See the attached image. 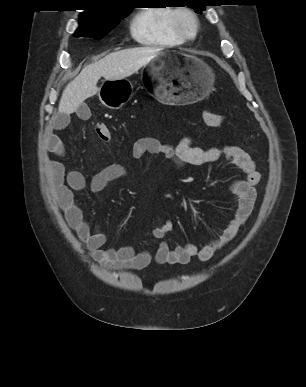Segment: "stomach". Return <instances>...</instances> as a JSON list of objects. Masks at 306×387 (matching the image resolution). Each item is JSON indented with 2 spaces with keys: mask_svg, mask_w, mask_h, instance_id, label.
I'll return each instance as SVG.
<instances>
[{
  "mask_svg": "<svg viewBox=\"0 0 306 387\" xmlns=\"http://www.w3.org/2000/svg\"><path fill=\"white\" fill-rule=\"evenodd\" d=\"M142 79L165 108H189L210 93L214 74L197 57L167 46L143 66ZM98 95L105 106L118 109L125 104L128 87L122 80L108 81Z\"/></svg>",
  "mask_w": 306,
  "mask_h": 387,
  "instance_id": "1",
  "label": "stomach"
}]
</instances>
